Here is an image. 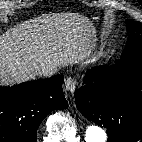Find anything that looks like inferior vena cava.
Masks as SVG:
<instances>
[{"mask_svg":"<svg viewBox=\"0 0 142 142\" xmlns=\"http://www.w3.org/2000/svg\"><path fill=\"white\" fill-rule=\"evenodd\" d=\"M57 67L52 64H44L35 68V75L39 77H49L55 74Z\"/></svg>","mask_w":142,"mask_h":142,"instance_id":"inferior-vena-cava-1","label":"inferior vena cava"}]
</instances>
